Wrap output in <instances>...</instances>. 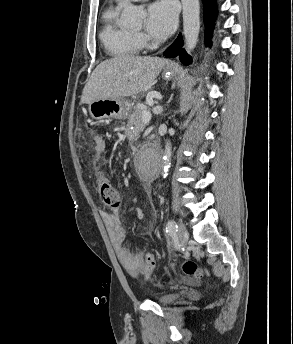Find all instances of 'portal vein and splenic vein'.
I'll return each instance as SVG.
<instances>
[{
    "label": "portal vein and splenic vein",
    "instance_id": "18ae733b",
    "mask_svg": "<svg viewBox=\"0 0 293 344\" xmlns=\"http://www.w3.org/2000/svg\"><path fill=\"white\" fill-rule=\"evenodd\" d=\"M151 120V113L148 110L142 111V121L144 124H147Z\"/></svg>",
    "mask_w": 293,
    "mask_h": 344
}]
</instances>
